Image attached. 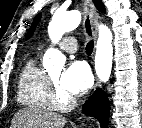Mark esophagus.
Listing matches in <instances>:
<instances>
[{"label": "esophagus", "instance_id": "1", "mask_svg": "<svg viewBox=\"0 0 142 128\" xmlns=\"http://www.w3.org/2000/svg\"><path fill=\"white\" fill-rule=\"evenodd\" d=\"M90 18H91V25H92L93 38H94V49H95V45H96V41H97V35H98V22H99V19H100V15H99L98 11L96 10L92 1L90 3ZM100 86H101L100 81L96 77L92 92H94ZM82 118H83V120H85L86 116H83Z\"/></svg>", "mask_w": 142, "mask_h": 128}]
</instances>
